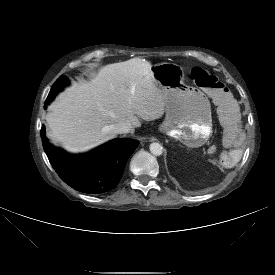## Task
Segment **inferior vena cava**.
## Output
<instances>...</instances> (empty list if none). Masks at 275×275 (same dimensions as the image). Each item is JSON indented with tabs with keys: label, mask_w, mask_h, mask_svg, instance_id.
I'll use <instances>...</instances> for the list:
<instances>
[{
	"label": "inferior vena cava",
	"mask_w": 275,
	"mask_h": 275,
	"mask_svg": "<svg viewBox=\"0 0 275 275\" xmlns=\"http://www.w3.org/2000/svg\"><path fill=\"white\" fill-rule=\"evenodd\" d=\"M110 130L114 134L129 133L132 130V125L128 121H120L119 123L112 125Z\"/></svg>",
	"instance_id": "602c4592"
}]
</instances>
